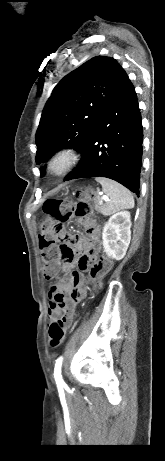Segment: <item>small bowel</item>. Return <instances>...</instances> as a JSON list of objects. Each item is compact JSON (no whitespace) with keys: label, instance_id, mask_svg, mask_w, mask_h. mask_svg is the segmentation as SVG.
Returning a JSON list of instances; mask_svg holds the SVG:
<instances>
[{"label":"small bowel","instance_id":"small-bowel-1","mask_svg":"<svg viewBox=\"0 0 165 461\" xmlns=\"http://www.w3.org/2000/svg\"><path fill=\"white\" fill-rule=\"evenodd\" d=\"M88 234H69L66 237V245H70L71 250L60 251V262L55 264L56 273L62 271L64 277L51 284L49 296L51 301L48 308V316L51 320L56 319L61 314V319L65 326H69L74 318L76 304L85 297L87 288L84 276L77 271H72L74 266H79L81 270H88L91 277L105 274L108 269L102 270L95 265L92 258L100 251V230L92 220L80 219ZM79 252V253H78Z\"/></svg>","mask_w":165,"mask_h":461}]
</instances>
